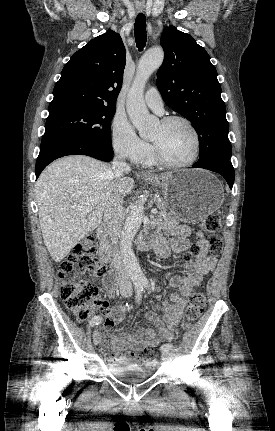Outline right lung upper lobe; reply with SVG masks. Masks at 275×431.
Masks as SVG:
<instances>
[{"instance_id":"1","label":"right lung upper lobe","mask_w":275,"mask_h":431,"mask_svg":"<svg viewBox=\"0 0 275 431\" xmlns=\"http://www.w3.org/2000/svg\"><path fill=\"white\" fill-rule=\"evenodd\" d=\"M126 52L118 33L108 30L74 53L56 83L49 113L78 107H115Z\"/></svg>"}]
</instances>
